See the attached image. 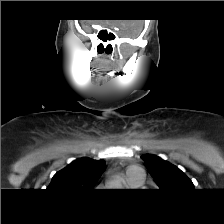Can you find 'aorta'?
Wrapping results in <instances>:
<instances>
[{
	"label": "aorta",
	"instance_id": "1",
	"mask_svg": "<svg viewBox=\"0 0 224 224\" xmlns=\"http://www.w3.org/2000/svg\"><path fill=\"white\" fill-rule=\"evenodd\" d=\"M112 187L120 188V187H122V185H121L120 181H115V182H113Z\"/></svg>",
	"mask_w": 224,
	"mask_h": 224
}]
</instances>
